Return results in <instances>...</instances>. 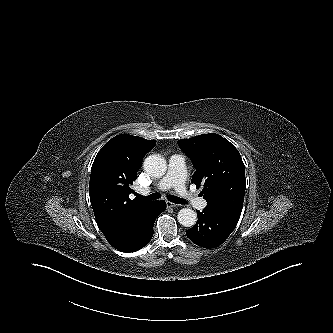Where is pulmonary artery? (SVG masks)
I'll use <instances>...</instances> for the list:
<instances>
[{
  "label": "pulmonary artery",
  "mask_w": 333,
  "mask_h": 333,
  "mask_svg": "<svg viewBox=\"0 0 333 333\" xmlns=\"http://www.w3.org/2000/svg\"><path fill=\"white\" fill-rule=\"evenodd\" d=\"M171 187H174L178 195L188 201L193 207L198 209H204L206 207V201L193 195L185 186V159L182 155L176 154L170 158L169 169L166 176L160 180L156 189L165 191ZM150 189H146L145 192H149Z\"/></svg>",
  "instance_id": "e3ab8cb5"
}]
</instances>
